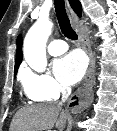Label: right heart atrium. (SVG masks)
<instances>
[{"label": "right heart atrium", "mask_w": 117, "mask_h": 131, "mask_svg": "<svg viewBox=\"0 0 117 131\" xmlns=\"http://www.w3.org/2000/svg\"><path fill=\"white\" fill-rule=\"evenodd\" d=\"M21 81L27 95L41 100H55L66 92V87L50 75L30 69L22 71Z\"/></svg>", "instance_id": "d8ad5b80"}]
</instances>
